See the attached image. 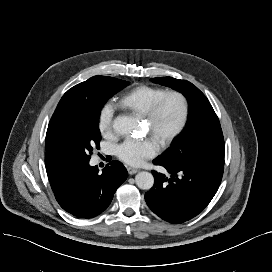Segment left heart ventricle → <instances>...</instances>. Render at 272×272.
<instances>
[{
  "mask_svg": "<svg viewBox=\"0 0 272 272\" xmlns=\"http://www.w3.org/2000/svg\"><path fill=\"white\" fill-rule=\"evenodd\" d=\"M180 116V107L178 102L173 99L170 98L168 99L162 110L161 113L159 115V118L155 124V137L160 140L161 137L167 133L168 131H170L178 122ZM148 125V129H150L149 124Z\"/></svg>",
  "mask_w": 272,
  "mask_h": 272,
  "instance_id": "obj_1",
  "label": "left heart ventricle"
}]
</instances>
